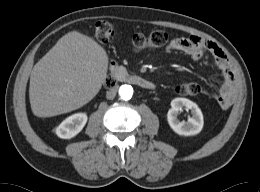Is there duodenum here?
<instances>
[{"instance_id":"1","label":"duodenum","mask_w":260,"mask_h":192,"mask_svg":"<svg viewBox=\"0 0 260 192\" xmlns=\"http://www.w3.org/2000/svg\"><path fill=\"white\" fill-rule=\"evenodd\" d=\"M111 78L116 82L132 84L143 89L153 90L156 85L149 79L135 74L128 73L123 67L116 66L111 69Z\"/></svg>"}]
</instances>
